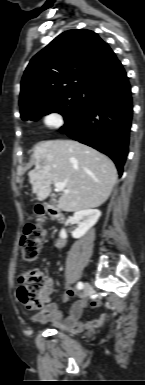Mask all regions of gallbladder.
<instances>
[{"label": "gallbladder", "instance_id": "1", "mask_svg": "<svg viewBox=\"0 0 145 385\" xmlns=\"http://www.w3.org/2000/svg\"><path fill=\"white\" fill-rule=\"evenodd\" d=\"M56 203H57L56 200H52V201H51V204H52V205H55Z\"/></svg>", "mask_w": 145, "mask_h": 385}]
</instances>
